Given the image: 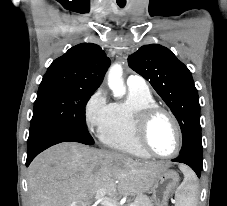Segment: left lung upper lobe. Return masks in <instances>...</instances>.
<instances>
[{
	"mask_svg": "<svg viewBox=\"0 0 227 206\" xmlns=\"http://www.w3.org/2000/svg\"><path fill=\"white\" fill-rule=\"evenodd\" d=\"M135 72L150 82L179 122L187 150L202 156L200 105L191 72L174 53L158 44L142 46L128 57Z\"/></svg>",
	"mask_w": 227,
	"mask_h": 206,
	"instance_id": "obj_1",
	"label": "left lung upper lobe"
}]
</instances>
